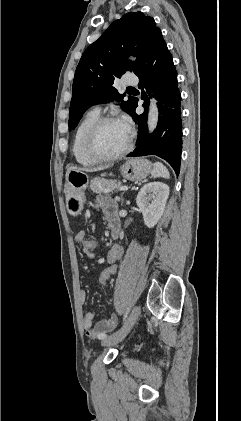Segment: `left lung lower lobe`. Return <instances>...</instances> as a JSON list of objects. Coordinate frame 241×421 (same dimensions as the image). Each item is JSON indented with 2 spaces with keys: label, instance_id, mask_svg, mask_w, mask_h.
I'll list each match as a JSON object with an SVG mask.
<instances>
[{
  "label": "left lung lower lobe",
  "instance_id": "obj_1",
  "mask_svg": "<svg viewBox=\"0 0 241 421\" xmlns=\"http://www.w3.org/2000/svg\"><path fill=\"white\" fill-rule=\"evenodd\" d=\"M139 88L142 89L143 107L141 115L135 113L138 100L135 99L131 116L139 126L138 144L128 157L156 155L165 159L179 175L182 153L181 94L177 86V72L171 53L159 32L136 72ZM155 93L158 101V126L153 134H146L148 96Z\"/></svg>",
  "mask_w": 241,
  "mask_h": 421
}]
</instances>
